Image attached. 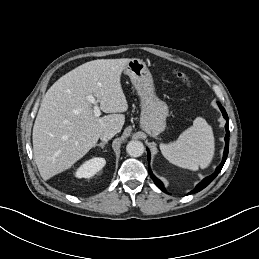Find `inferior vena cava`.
<instances>
[{
  "mask_svg": "<svg viewBox=\"0 0 259 259\" xmlns=\"http://www.w3.org/2000/svg\"><path fill=\"white\" fill-rule=\"evenodd\" d=\"M117 132L113 129H109V130H105L101 136H100V139L102 141H108L110 140L112 137H114V135L116 134Z\"/></svg>",
  "mask_w": 259,
  "mask_h": 259,
  "instance_id": "inferior-vena-cava-1",
  "label": "inferior vena cava"
}]
</instances>
